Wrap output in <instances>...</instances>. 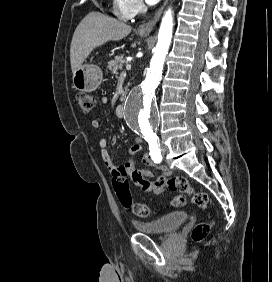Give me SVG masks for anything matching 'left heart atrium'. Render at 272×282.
Masks as SVG:
<instances>
[{
  "mask_svg": "<svg viewBox=\"0 0 272 282\" xmlns=\"http://www.w3.org/2000/svg\"><path fill=\"white\" fill-rule=\"evenodd\" d=\"M148 4L154 5L156 4L159 0H146Z\"/></svg>",
  "mask_w": 272,
  "mask_h": 282,
  "instance_id": "39dd6f15",
  "label": "left heart atrium"
}]
</instances>
